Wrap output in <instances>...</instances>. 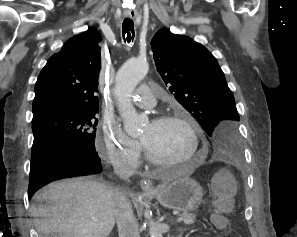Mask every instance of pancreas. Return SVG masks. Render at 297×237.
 <instances>
[{"mask_svg": "<svg viewBox=\"0 0 297 237\" xmlns=\"http://www.w3.org/2000/svg\"><path fill=\"white\" fill-rule=\"evenodd\" d=\"M180 217L183 218V222L184 224L186 225H190V224H193L195 222V219H196V215L195 214H192V213H182L180 215Z\"/></svg>", "mask_w": 297, "mask_h": 237, "instance_id": "pancreas-1", "label": "pancreas"}]
</instances>
